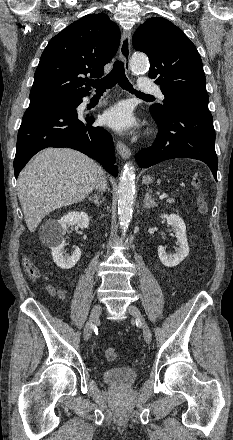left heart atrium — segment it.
<instances>
[{
    "mask_svg": "<svg viewBox=\"0 0 233 440\" xmlns=\"http://www.w3.org/2000/svg\"><path fill=\"white\" fill-rule=\"evenodd\" d=\"M106 125L117 131H127L136 126L137 120L134 117L130 106L121 102L109 108L103 116Z\"/></svg>",
    "mask_w": 233,
    "mask_h": 440,
    "instance_id": "39dd6f15",
    "label": "left heart atrium"
}]
</instances>
